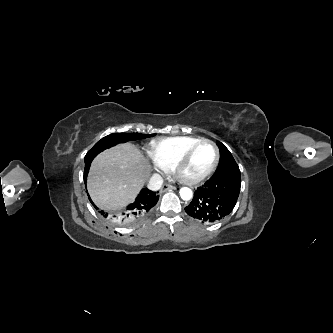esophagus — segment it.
<instances>
[{
	"instance_id": "34e87169",
	"label": "esophagus",
	"mask_w": 333,
	"mask_h": 333,
	"mask_svg": "<svg viewBox=\"0 0 333 333\" xmlns=\"http://www.w3.org/2000/svg\"><path fill=\"white\" fill-rule=\"evenodd\" d=\"M172 189H176L175 186H172L170 184H165L162 189H161V192H165V191H168V190H172Z\"/></svg>"
}]
</instances>
